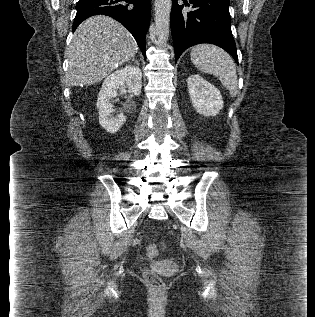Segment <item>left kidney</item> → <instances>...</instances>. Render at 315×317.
I'll return each instance as SVG.
<instances>
[{
	"label": "left kidney",
	"mask_w": 315,
	"mask_h": 317,
	"mask_svg": "<svg viewBox=\"0 0 315 317\" xmlns=\"http://www.w3.org/2000/svg\"><path fill=\"white\" fill-rule=\"evenodd\" d=\"M190 99L195 110L204 116H215L223 108L220 91L200 75L187 78Z\"/></svg>",
	"instance_id": "obj_1"
}]
</instances>
